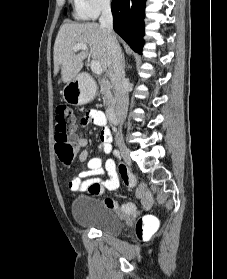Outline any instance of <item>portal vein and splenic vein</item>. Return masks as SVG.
<instances>
[{
  "label": "portal vein and splenic vein",
  "mask_w": 227,
  "mask_h": 279,
  "mask_svg": "<svg viewBox=\"0 0 227 279\" xmlns=\"http://www.w3.org/2000/svg\"><path fill=\"white\" fill-rule=\"evenodd\" d=\"M73 50L74 51L87 50V46L84 44H77L73 47ZM90 67L91 70L97 75H100L103 72L101 64L96 60L91 61Z\"/></svg>",
  "instance_id": "1"
}]
</instances>
